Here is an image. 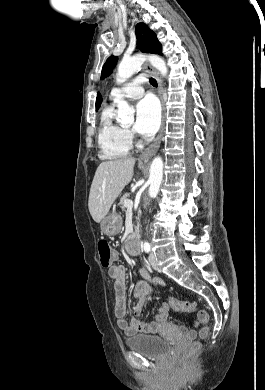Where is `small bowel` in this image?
Here are the masks:
<instances>
[{
	"instance_id": "obj_1",
	"label": "small bowel",
	"mask_w": 265,
	"mask_h": 390,
	"mask_svg": "<svg viewBox=\"0 0 265 390\" xmlns=\"http://www.w3.org/2000/svg\"><path fill=\"white\" fill-rule=\"evenodd\" d=\"M114 257H118L117 252L114 253ZM108 275L114 280L116 323L119 329L125 334L155 333L166 323L170 310V305L167 302L161 304L154 314V320L151 323H145L139 319L144 310L146 298L150 294L149 283L157 286H164L165 283L162 279L150 278L144 270H141L143 279L138 282L133 289V296L137 301L133 308V317L128 321L125 318L126 268L123 265H112L108 269ZM174 329L179 334L190 339L196 336V331L193 328L180 326L175 327Z\"/></svg>"
}]
</instances>
